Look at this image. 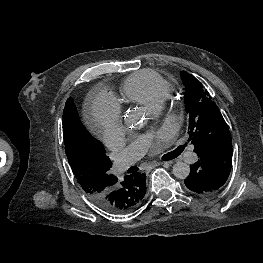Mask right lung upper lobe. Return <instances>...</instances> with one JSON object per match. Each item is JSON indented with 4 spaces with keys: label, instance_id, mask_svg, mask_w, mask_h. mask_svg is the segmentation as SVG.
<instances>
[{
    "label": "right lung upper lobe",
    "instance_id": "cb5924a9",
    "mask_svg": "<svg viewBox=\"0 0 263 263\" xmlns=\"http://www.w3.org/2000/svg\"><path fill=\"white\" fill-rule=\"evenodd\" d=\"M113 177V175H110L109 173L106 175L105 180H104V185L109 182ZM104 189H101V191ZM100 192V191H98ZM128 201L127 203L121 207L117 213H125V212H129L133 209H135L140 201L142 200V198L145 196L146 193V187L145 186H141L139 184H130V186L128 187Z\"/></svg>",
    "mask_w": 263,
    "mask_h": 263
}]
</instances>
